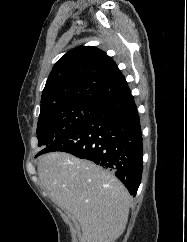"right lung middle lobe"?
<instances>
[{
  "label": "right lung middle lobe",
  "mask_w": 187,
  "mask_h": 242,
  "mask_svg": "<svg viewBox=\"0 0 187 242\" xmlns=\"http://www.w3.org/2000/svg\"><path fill=\"white\" fill-rule=\"evenodd\" d=\"M103 107L89 103H70L40 113L37 125L38 146L52 142L95 116Z\"/></svg>",
  "instance_id": "obj_1"
}]
</instances>
